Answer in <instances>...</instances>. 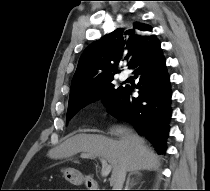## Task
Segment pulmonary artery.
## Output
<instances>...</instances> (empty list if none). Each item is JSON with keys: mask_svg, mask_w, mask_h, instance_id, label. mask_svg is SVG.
<instances>
[{"mask_svg": "<svg viewBox=\"0 0 210 191\" xmlns=\"http://www.w3.org/2000/svg\"><path fill=\"white\" fill-rule=\"evenodd\" d=\"M119 77L121 80H126L128 78V74L126 72H122Z\"/></svg>", "mask_w": 210, "mask_h": 191, "instance_id": "obj_1", "label": "pulmonary artery"}]
</instances>
